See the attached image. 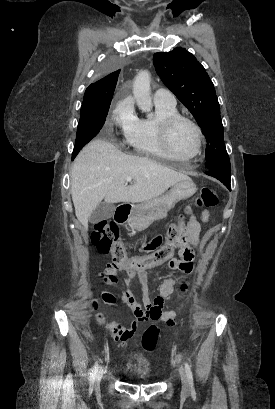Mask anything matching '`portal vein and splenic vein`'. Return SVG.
Masks as SVG:
<instances>
[{"label": "portal vein and splenic vein", "mask_w": 275, "mask_h": 409, "mask_svg": "<svg viewBox=\"0 0 275 409\" xmlns=\"http://www.w3.org/2000/svg\"><path fill=\"white\" fill-rule=\"evenodd\" d=\"M126 182H132V176H127V178H125Z\"/></svg>", "instance_id": "1"}]
</instances>
